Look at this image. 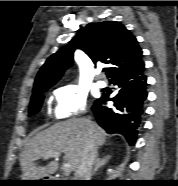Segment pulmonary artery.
<instances>
[{
	"instance_id": "1",
	"label": "pulmonary artery",
	"mask_w": 178,
	"mask_h": 186,
	"mask_svg": "<svg viewBox=\"0 0 178 186\" xmlns=\"http://www.w3.org/2000/svg\"><path fill=\"white\" fill-rule=\"evenodd\" d=\"M97 85H98L99 87L103 88V87L106 86V81L103 80V79H99V80L97 81Z\"/></svg>"
}]
</instances>
